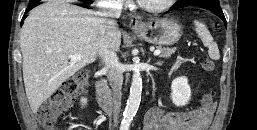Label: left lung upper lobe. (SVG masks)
Wrapping results in <instances>:
<instances>
[{"mask_svg": "<svg viewBox=\"0 0 257 130\" xmlns=\"http://www.w3.org/2000/svg\"><path fill=\"white\" fill-rule=\"evenodd\" d=\"M201 0H178L175 5L199 4Z\"/></svg>", "mask_w": 257, "mask_h": 130, "instance_id": "left-lung-upper-lobe-1", "label": "left lung upper lobe"}]
</instances>
